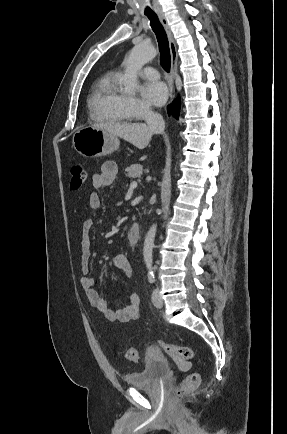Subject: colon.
<instances>
[{"instance_id": "colon-1", "label": "colon", "mask_w": 287, "mask_h": 434, "mask_svg": "<svg viewBox=\"0 0 287 434\" xmlns=\"http://www.w3.org/2000/svg\"><path fill=\"white\" fill-rule=\"evenodd\" d=\"M87 171L85 167L81 164H75L71 168V181H70V187L73 190H77L82 187V185L87 180ZM158 346L166 352L168 355L173 357L176 360L179 361H185V362H194L195 361V355L193 351L188 347H182V346H176L167 342L159 341ZM125 357L127 360L131 362L138 361V351L134 347H130L126 350ZM201 381V376L197 372L189 373L182 383L177 387L175 390L174 396L175 398L179 399L183 397L186 393L194 390L198 387Z\"/></svg>"}]
</instances>
